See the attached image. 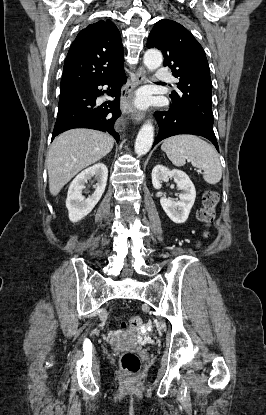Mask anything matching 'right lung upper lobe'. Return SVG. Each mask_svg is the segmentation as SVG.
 <instances>
[{"label":"right lung upper lobe","mask_w":266,"mask_h":415,"mask_svg":"<svg viewBox=\"0 0 266 415\" xmlns=\"http://www.w3.org/2000/svg\"><path fill=\"white\" fill-rule=\"evenodd\" d=\"M123 55L121 36L113 22L88 25L70 46L60 91L117 74L123 70Z\"/></svg>","instance_id":"obj_1"}]
</instances>
